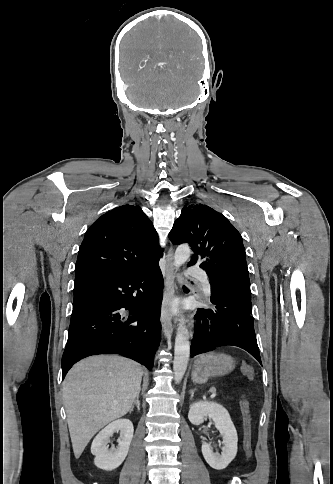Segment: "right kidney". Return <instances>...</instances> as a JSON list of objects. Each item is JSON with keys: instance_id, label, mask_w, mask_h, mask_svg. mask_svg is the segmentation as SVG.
<instances>
[{"instance_id": "ca27d5eb", "label": "right kidney", "mask_w": 333, "mask_h": 484, "mask_svg": "<svg viewBox=\"0 0 333 484\" xmlns=\"http://www.w3.org/2000/svg\"><path fill=\"white\" fill-rule=\"evenodd\" d=\"M115 432H120L118 446L109 449L108 441ZM133 432V424L128 419L116 420L100 431L91 445V453L95 456L96 467L105 471L118 468L128 454Z\"/></svg>"}]
</instances>
